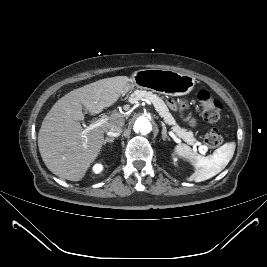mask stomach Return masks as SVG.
I'll use <instances>...</instances> for the list:
<instances>
[{
    "label": "stomach",
    "mask_w": 267,
    "mask_h": 267,
    "mask_svg": "<svg viewBox=\"0 0 267 267\" xmlns=\"http://www.w3.org/2000/svg\"><path fill=\"white\" fill-rule=\"evenodd\" d=\"M134 86L167 96H182L193 90L195 78L172 70L142 69L133 74L123 94Z\"/></svg>",
    "instance_id": "stomach-1"
}]
</instances>
